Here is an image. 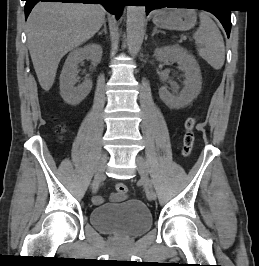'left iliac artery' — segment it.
<instances>
[{"label": "left iliac artery", "mask_w": 259, "mask_h": 266, "mask_svg": "<svg viewBox=\"0 0 259 266\" xmlns=\"http://www.w3.org/2000/svg\"><path fill=\"white\" fill-rule=\"evenodd\" d=\"M147 189H151V194H152L153 198L157 197L153 182H148Z\"/></svg>", "instance_id": "left-iliac-artery-1"}]
</instances>
